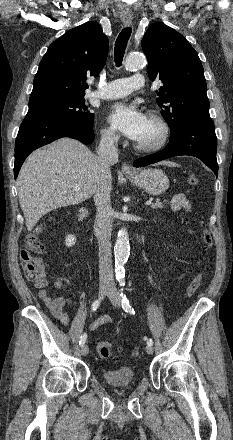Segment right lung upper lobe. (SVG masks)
Returning a JSON list of instances; mask_svg holds the SVG:
<instances>
[{"instance_id": "cb5924a9", "label": "right lung upper lobe", "mask_w": 233, "mask_h": 440, "mask_svg": "<svg viewBox=\"0 0 233 440\" xmlns=\"http://www.w3.org/2000/svg\"><path fill=\"white\" fill-rule=\"evenodd\" d=\"M108 38L89 21L54 41L42 58L29 104L56 98H84L86 78L97 77L108 54Z\"/></svg>"}]
</instances>
